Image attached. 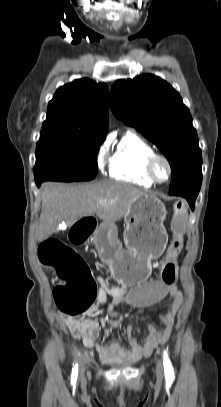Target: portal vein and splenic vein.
<instances>
[{
    "mask_svg": "<svg viewBox=\"0 0 221 407\" xmlns=\"http://www.w3.org/2000/svg\"><path fill=\"white\" fill-rule=\"evenodd\" d=\"M106 202H107L106 200H99V204H104Z\"/></svg>",
    "mask_w": 221,
    "mask_h": 407,
    "instance_id": "portal-vein-and-splenic-vein-1",
    "label": "portal vein and splenic vein"
}]
</instances>
